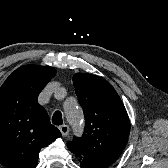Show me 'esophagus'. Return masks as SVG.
<instances>
[{
	"instance_id": "obj_1",
	"label": "esophagus",
	"mask_w": 168,
	"mask_h": 168,
	"mask_svg": "<svg viewBox=\"0 0 168 168\" xmlns=\"http://www.w3.org/2000/svg\"><path fill=\"white\" fill-rule=\"evenodd\" d=\"M59 130L61 133L66 136L69 133V126L68 125H62L59 127Z\"/></svg>"
}]
</instances>
